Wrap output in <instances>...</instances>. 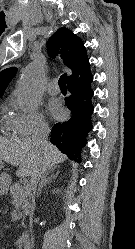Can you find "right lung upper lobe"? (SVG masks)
Here are the masks:
<instances>
[{
    "mask_svg": "<svg viewBox=\"0 0 135 249\" xmlns=\"http://www.w3.org/2000/svg\"><path fill=\"white\" fill-rule=\"evenodd\" d=\"M48 53L54 57L57 53L72 74L67 84L80 81L91 74L89 59L82 40L67 28H59L48 40ZM17 68L9 67L0 72V97H2L8 83L15 76Z\"/></svg>",
    "mask_w": 135,
    "mask_h": 249,
    "instance_id": "obj_1",
    "label": "right lung upper lobe"
}]
</instances>
